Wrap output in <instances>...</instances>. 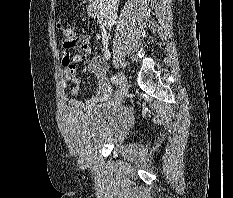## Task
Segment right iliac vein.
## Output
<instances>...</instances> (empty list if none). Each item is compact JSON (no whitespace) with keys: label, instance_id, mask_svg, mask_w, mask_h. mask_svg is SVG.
<instances>
[{"label":"right iliac vein","instance_id":"63e3f726","mask_svg":"<svg viewBox=\"0 0 233 198\" xmlns=\"http://www.w3.org/2000/svg\"><path fill=\"white\" fill-rule=\"evenodd\" d=\"M119 86H118V94L116 97V101L120 102L122 101L127 93H128V82H127V78L125 76L124 73L120 72L119 73Z\"/></svg>","mask_w":233,"mask_h":198}]
</instances>
